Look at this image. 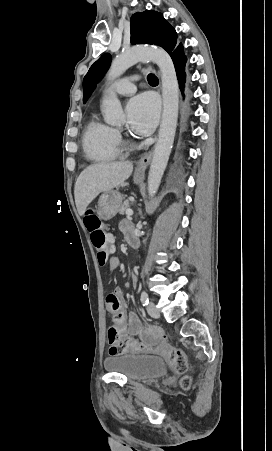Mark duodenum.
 I'll list each match as a JSON object with an SVG mask.
<instances>
[{
	"label": "duodenum",
	"instance_id": "obj_1",
	"mask_svg": "<svg viewBox=\"0 0 272 451\" xmlns=\"http://www.w3.org/2000/svg\"><path fill=\"white\" fill-rule=\"evenodd\" d=\"M128 243L134 249H137L139 247V245H140L139 240H138V238L136 236L130 237L128 239Z\"/></svg>",
	"mask_w": 272,
	"mask_h": 451
}]
</instances>
